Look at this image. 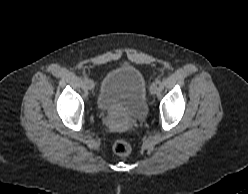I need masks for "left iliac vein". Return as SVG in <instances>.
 I'll use <instances>...</instances> for the list:
<instances>
[{
    "instance_id": "obj_1",
    "label": "left iliac vein",
    "mask_w": 248,
    "mask_h": 194,
    "mask_svg": "<svg viewBox=\"0 0 248 194\" xmlns=\"http://www.w3.org/2000/svg\"><path fill=\"white\" fill-rule=\"evenodd\" d=\"M159 88L156 83H152L150 86V92L151 94H156L158 92Z\"/></svg>"
}]
</instances>
